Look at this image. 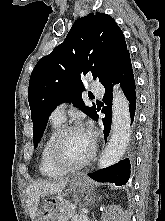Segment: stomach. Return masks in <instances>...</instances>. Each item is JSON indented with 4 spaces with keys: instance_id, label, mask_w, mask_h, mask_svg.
I'll use <instances>...</instances> for the list:
<instances>
[{
    "instance_id": "stomach-1",
    "label": "stomach",
    "mask_w": 165,
    "mask_h": 221,
    "mask_svg": "<svg viewBox=\"0 0 165 221\" xmlns=\"http://www.w3.org/2000/svg\"><path fill=\"white\" fill-rule=\"evenodd\" d=\"M69 189L76 193H84L90 190V183L82 177H74L71 179ZM37 212H32L34 221H64V218H57L55 213H59L60 200H37Z\"/></svg>"
}]
</instances>
